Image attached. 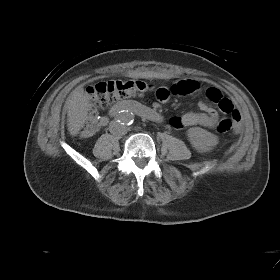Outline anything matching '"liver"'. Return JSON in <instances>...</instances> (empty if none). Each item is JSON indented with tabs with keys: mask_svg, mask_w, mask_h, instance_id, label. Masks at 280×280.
<instances>
[{
	"mask_svg": "<svg viewBox=\"0 0 280 280\" xmlns=\"http://www.w3.org/2000/svg\"><path fill=\"white\" fill-rule=\"evenodd\" d=\"M66 105L68 108V131L72 136H75L87 120L91 106L90 99L82 87H77L66 101Z\"/></svg>",
	"mask_w": 280,
	"mask_h": 280,
	"instance_id": "obj_1",
	"label": "liver"
}]
</instances>
